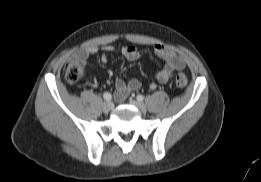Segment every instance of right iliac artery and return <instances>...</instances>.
<instances>
[{"label": "right iliac artery", "instance_id": "1", "mask_svg": "<svg viewBox=\"0 0 261 182\" xmlns=\"http://www.w3.org/2000/svg\"><path fill=\"white\" fill-rule=\"evenodd\" d=\"M103 98H104L105 100H107V101H110V100L112 99V94L109 93V92H105V93L103 94Z\"/></svg>", "mask_w": 261, "mask_h": 182}]
</instances>
